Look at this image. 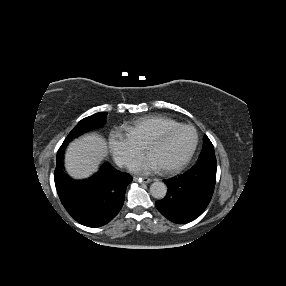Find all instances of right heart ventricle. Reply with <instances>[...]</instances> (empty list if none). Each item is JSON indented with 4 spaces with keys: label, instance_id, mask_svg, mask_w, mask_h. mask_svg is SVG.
Here are the masks:
<instances>
[{
    "label": "right heart ventricle",
    "instance_id": "e07e8e85",
    "mask_svg": "<svg viewBox=\"0 0 286 286\" xmlns=\"http://www.w3.org/2000/svg\"><path fill=\"white\" fill-rule=\"evenodd\" d=\"M178 121L159 115H149L136 119L126 126V130L142 145L146 141L168 129L180 126Z\"/></svg>",
    "mask_w": 286,
    "mask_h": 286
}]
</instances>
